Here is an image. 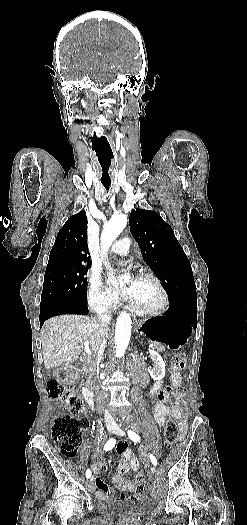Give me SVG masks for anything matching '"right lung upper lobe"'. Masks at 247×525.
<instances>
[{
	"mask_svg": "<svg viewBox=\"0 0 247 525\" xmlns=\"http://www.w3.org/2000/svg\"><path fill=\"white\" fill-rule=\"evenodd\" d=\"M90 267L87 248V218L85 211L71 216L58 232L51 249L46 271Z\"/></svg>",
	"mask_w": 247,
	"mask_h": 525,
	"instance_id": "right-lung-upper-lobe-1",
	"label": "right lung upper lobe"
}]
</instances>
